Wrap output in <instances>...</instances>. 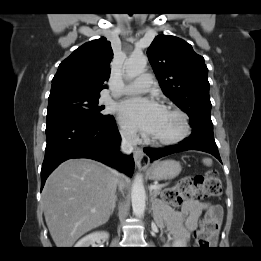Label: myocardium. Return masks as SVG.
<instances>
[{"instance_id":"myocardium-1","label":"myocardium","mask_w":261,"mask_h":261,"mask_svg":"<svg viewBox=\"0 0 261 261\" xmlns=\"http://www.w3.org/2000/svg\"><path fill=\"white\" fill-rule=\"evenodd\" d=\"M165 111L172 113L178 118L180 122V129L175 135L171 137H167V138L154 137L152 139V142L154 144L164 145V146L178 144L190 134L191 125H190L189 117L184 111H182L177 107L168 106L165 108Z\"/></svg>"}]
</instances>
